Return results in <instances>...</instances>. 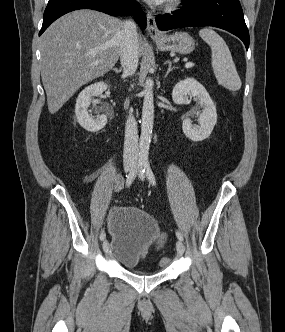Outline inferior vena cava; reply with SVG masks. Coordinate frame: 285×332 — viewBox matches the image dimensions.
Instances as JSON below:
<instances>
[{
  "mask_svg": "<svg viewBox=\"0 0 285 332\" xmlns=\"http://www.w3.org/2000/svg\"><path fill=\"white\" fill-rule=\"evenodd\" d=\"M123 39L121 43L120 61L123 68V77L131 76L138 66V34L136 23L127 20L123 25ZM138 159V136L135 118L130 112L125 126V141L123 160L133 164Z\"/></svg>",
  "mask_w": 285,
  "mask_h": 332,
  "instance_id": "obj_1",
  "label": "inferior vena cava"
}]
</instances>
